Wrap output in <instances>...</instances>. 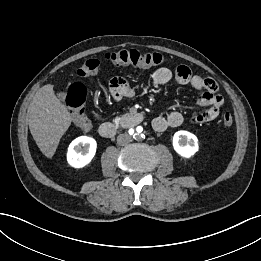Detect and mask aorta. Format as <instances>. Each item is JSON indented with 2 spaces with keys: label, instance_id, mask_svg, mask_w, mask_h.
<instances>
[{
  "label": "aorta",
  "instance_id": "aorta-1",
  "mask_svg": "<svg viewBox=\"0 0 261 261\" xmlns=\"http://www.w3.org/2000/svg\"><path fill=\"white\" fill-rule=\"evenodd\" d=\"M133 131V135L134 136H139L141 131H142V128L141 127H137L136 130H132Z\"/></svg>",
  "mask_w": 261,
  "mask_h": 261
}]
</instances>
